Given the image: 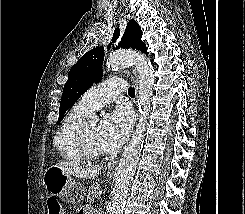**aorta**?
<instances>
[{
	"instance_id": "obj_1",
	"label": "aorta",
	"mask_w": 245,
	"mask_h": 214,
	"mask_svg": "<svg viewBox=\"0 0 245 214\" xmlns=\"http://www.w3.org/2000/svg\"><path fill=\"white\" fill-rule=\"evenodd\" d=\"M106 65L112 70L125 68L128 65H135L139 74V122L120 158L116 183L112 193L110 214H123L129 186L134 177L144 144V132L146 130V122L153 94L154 68L148 58L133 51H118L110 54L107 58Z\"/></svg>"
}]
</instances>
